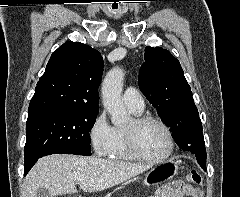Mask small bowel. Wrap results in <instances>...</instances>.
<instances>
[{
	"mask_svg": "<svg viewBox=\"0 0 240 197\" xmlns=\"http://www.w3.org/2000/svg\"><path fill=\"white\" fill-rule=\"evenodd\" d=\"M155 197H158V194ZM166 197H202V191L198 187L188 184H172L169 191L166 192Z\"/></svg>",
	"mask_w": 240,
	"mask_h": 197,
	"instance_id": "obj_1",
	"label": "small bowel"
}]
</instances>
